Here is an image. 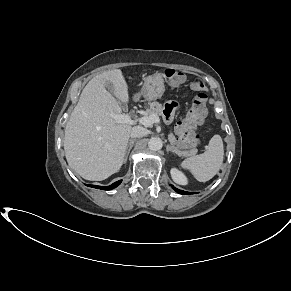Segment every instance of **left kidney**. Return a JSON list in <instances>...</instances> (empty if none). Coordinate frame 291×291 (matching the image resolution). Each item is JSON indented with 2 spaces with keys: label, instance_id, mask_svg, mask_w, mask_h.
I'll use <instances>...</instances> for the list:
<instances>
[{
  "label": "left kidney",
  "instance_id": "obj_1",
  "mask_svg": "<svg viewBox=\"0 0 291 291\" xmlns=\"http://www.w3.org/2000/svg\"><path fill=\"white\" fill-rule=\"evenodd\" d=\"M170 173H171V177L175 183H177L179 185H186L188 183L186 176L178 169L172 168Z\"/></svg>",
  "mask_w": 291,
  "mask_h": 291
}]
</instances>
